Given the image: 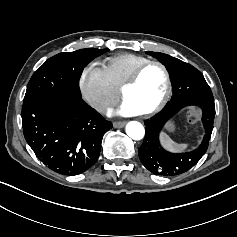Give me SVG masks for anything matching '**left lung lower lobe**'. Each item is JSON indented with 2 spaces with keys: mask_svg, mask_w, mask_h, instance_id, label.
<instances>
[{
  "mask_svg": "<svg viewBox=\"0 0 237 237\" xmlns=\"http://www.w3.org/2000/svg\"><path fill=\"white\" fill-rule=\"evenodd\" d=\"M190 105H196L199 106L203 111V117L202 121L206 128V130L211 134L213 130V122H214V116H215V104L211 101H205V102H199V103H193V104H187V105H177L170 110H164L162 113L165 114L168 119H170L174 114H176L181 108L190 106ZM199 160H195V164Z\"/></svg>",
  "mask_w": 237,
  "mask_h": 237,
  "instance_id": "obj_1",
  "label": "left lung lower lobe"
}]
</instances>
